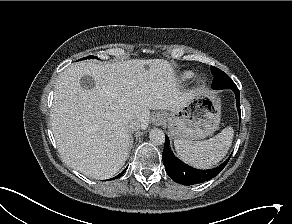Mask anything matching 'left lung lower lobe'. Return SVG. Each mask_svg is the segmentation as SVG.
Instances as JSON below:
<instances>
[{"label":"left lung lower lobe","instance_id":"0a47b994","mask_svg":"<svg viewBox=\"0 0 292 224\" xmlns=\"http://www.w3.org/2000/svg\"><path fill=\"white\" fill-rule=\"evenodd\" d=\"M223 89H231L236 96L237 109L240 115V93L234 82L226 85ZM230 158V157H229ZM229 158L219 167L210 170H198L183 163L169 148V138L166 136V142L162 153L163 163L167 174L177 183L183 185H193L205 182L218 175L229 161Z\"/></svg>","mask_w":292,"mask_h":224}]
</instances>
